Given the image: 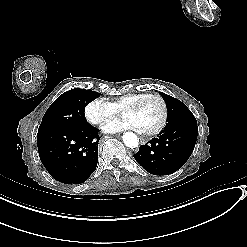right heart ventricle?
Wrapping results in <instances>:
<instances>
[{"instance_id": "1", "label": "right heart ventricle", "mask_w": 247, "mask_h": 247, "mask_svg": "<svg viewBox=\"0 0 247 247\" xmlns=\"http://www.w3.org/2000/svg\"><path fill=\"white\" fill-rule=\"evenodd\" d=\"M144 94H147V93H133V94H128L126 96L116 98L114 100L113 104H114V106L116 108H122V107H125V106H130L135 99L141 97Z\"/></svg>"}]
</instances>
